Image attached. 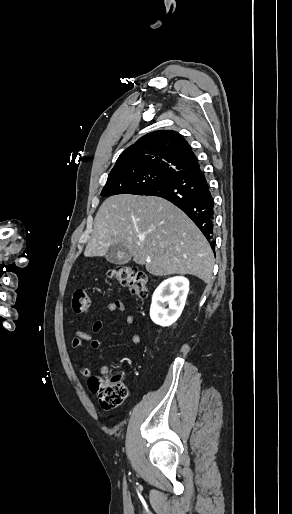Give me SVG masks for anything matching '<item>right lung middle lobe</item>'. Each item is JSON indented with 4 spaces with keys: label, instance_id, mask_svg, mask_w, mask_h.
<instances>
[{
    "label": "right lung middle lobe",
    "instance_id": "dd1d6c3e",
    "mask_svg": "<svg viewBox=\"0 0 292 514\" xmlns=\"http://www.w3.org/2000/svg\"><path fill=\"white\" fill-rule=\"evenodd\" d=\"M172 174L167 172H143L129 175L108 176L101 195L117 194L143 195Z\"/></svg>",
    "mask_w": 292,
    "mask_h": 514
}]
</instances>
